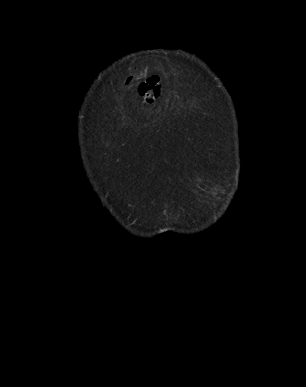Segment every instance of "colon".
<instances>
[{
  "mask_svg": "<svg viewBox=\"0 0 306 387\" xmlns=\"http://www.w3.org/2000/svg\"><path fill=\"white\" fill-rule=\"evenodd\" d=\"M140 93L147 103L156 101L161 94V84L159 80L152 77L147 78L140 85Z\"/></svg>",
  "mask_w": 306,
  "mask_h": 387,
  "instance_id": "5ec220e1",
  "label": "colon"
}]
</instances>
